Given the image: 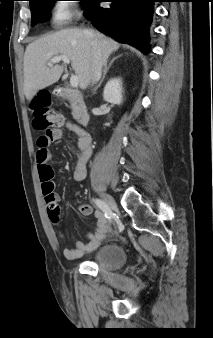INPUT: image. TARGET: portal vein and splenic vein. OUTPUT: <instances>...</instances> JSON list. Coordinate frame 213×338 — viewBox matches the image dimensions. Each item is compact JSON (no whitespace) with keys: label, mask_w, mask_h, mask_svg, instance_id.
<instances>
[{"label":"portal vein and splenic vein","mask_w":213,"mask_h":338,"mask_svg":"<svg viewBox=\"0 0 213 338\" xmlns=\"http://www.w3.org/2000/svg\"><path fill=\"white\" fill-rule=\"evenodd\" d=\"M60 61H63L66 64H69L70 60L68 57L66 56H55L54 58L51 59L50 62L47 63L48 66H52L53 64L59 63ZM79 84V79L77 77V75H71L70 77V85L73 88L78 87Z\"/></svg>","instance_id":"portal-vein-and-splenic-vein-1"}]
</instances>
